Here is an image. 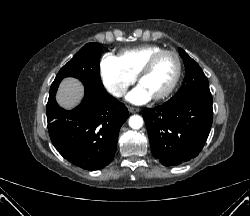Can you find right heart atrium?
I'll return each instance as SVG.
<instances>
[{"instance_id": "1", "label": "right heart atrium", "mask_w": 250, "mask_h": 216, "mask_svg": "<svg viewBox=\"0 0 250 216\" xmlns=\"http://www.w3.org/2000/svg\"><path fill=\"white\" fill-rule=\"evenodd\" d=\"M100 76L106 90L116 98L122 97L136 80V77L122 66L119 59L111 54L102 57Z\"/></svg>"}]
</instances>
